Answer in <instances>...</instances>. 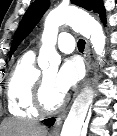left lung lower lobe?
Segmentation results:
<instances>
[{
  "instance_id": "1",
  "label": "left lung lower lobe",
  "mask_w": 117,
  "mask_h": 136,
  "mask_svg": "<svg viewBox=\"0 0 117 136\" xmlns=\"http://www.w3.org/2000/svg\"><path fill=\"white\" fill-rule=\"evenodd\" d=\"M103 22H104V24H106V20H104ZM53 123H54L53 119L52 120H48V121L45 122V124L48 125V126L53 125Z\"/></svg>"
}]
</instances>
